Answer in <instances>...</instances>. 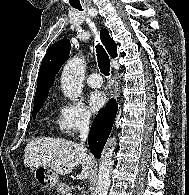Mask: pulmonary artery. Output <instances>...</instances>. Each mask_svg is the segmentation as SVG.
Here are the masks:
<instances>
[{
  "label": "pulmonary artery",
  "mask_w": 189,
  "mask_h": 195,
  "mask_svg": "<svg viewBox=\"0 0 189 195\" xmlns=\"http://www.w3.org/2000/svg\"><path fill=\"white\" fill-rule=\"evenodd\" d=\"M86 83L93 89H98L103 84L101 75L97 72L90 73L86 78Z\"/></svg>",
  "instance_id": "obj_1"
}]
</instances>
